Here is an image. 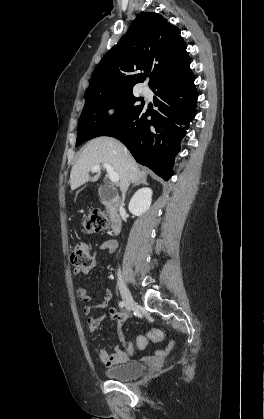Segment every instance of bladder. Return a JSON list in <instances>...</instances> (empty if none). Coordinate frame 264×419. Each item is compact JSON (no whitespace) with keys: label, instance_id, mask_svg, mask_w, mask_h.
<instances>
[{"label":"bladder","instance_id":"bladder-1","mask_svg":"<svg viewBox=\"0 0 264 419\" xmlns=\"http://www.w3.org/2000/svg\"><path fill=\"white\" fill-rule=\"evenodd\" d=\"M145 370V364L132 360L107 369L105 376L111 380L128 381L141 376Z\"/></svg>","mask_w":264,"mask_h":419}]
</instances>
